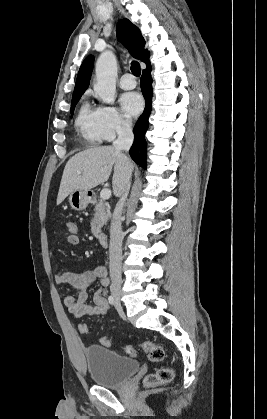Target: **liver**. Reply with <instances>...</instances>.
I'll return each instance as SVG.
<instances>
[{
	"instance_id": "1",
	"label": "liver",
	"mask_w": 267,
	"mask_h": 419,
	"mask_svg": "<svg viewBox=\"0 0 267 419\" xmlns=\"http://www.w3.org/2000/svg\"><path fill=\"white\" fill-rule=\"evenodd\" d=\"M113 193L120 195V186L129 169L131 161L113 146L88 148L71 157L65 165L57 197L59 205L75 190H90L106 182L111 175Z\"/></svg>"
}]
</instances>
